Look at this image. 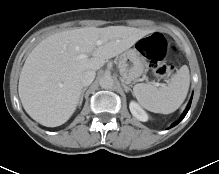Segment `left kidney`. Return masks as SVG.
Wrapping results in <instances>:
<instances>
[{
    "label": "left kidney",
    "instance_id": "obj_1",
    "mask_svg": "<svg viewBox=\"0 0 219 174\" xmlns=\"http://www.w3.org/2000/svg\"><path fill=\"white\" fill-rule=\"evenodd\" d=\"M130 111L132 115L138 120L145 122L148 120L147 113L134 101H131L129 104Z\"/></svg>",
    "mask_w": 219,
    "mask_h": 174
}]
</instances>
